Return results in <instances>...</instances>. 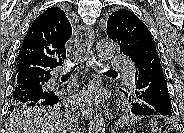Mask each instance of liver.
Wrapping results in <instances>:
<instances>
[{"mask_svg": "<svg viewBox=\"0 0 184 133\" xmlns=\"http://www.w3.org/2000/svg\"><path fill=\"white\" fill-rule=\"evenodd\" d=\"M7 133H67L65 121L44 107L31 108L12 116Z\"/></svg>", "mask_w": 184, "mask_h": 133, "instance_id": "obj_1", "label": "liver"}]
</instances>
